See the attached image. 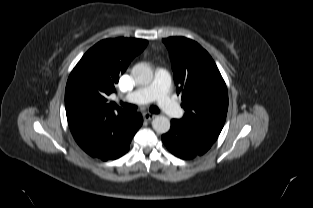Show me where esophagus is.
Returning <instances> with one entry per match:
<instances>
[{"mask_svg":"<svg viewBox=\"0 0 313 208\" xmlns=\"http://www.w3.org/2000/svg\"><path fill=\"white\" fill-rule=\"evenodd\" d=\"M155 117H156V115H154V114H151V113H148V112L143 113V118L145 120H147V121H150V120H152Z\"/></svg>","mask_w":313,"mask_h":208,"instance_id":"1","label":"esophagus"}]
</instances>
